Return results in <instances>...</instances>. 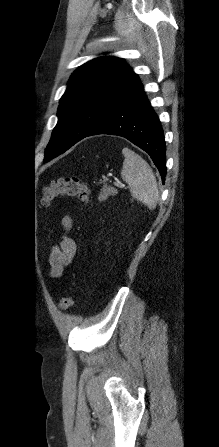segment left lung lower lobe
Returning a JSON list of instances; mask_svg holds the SVG:
<instances>
[{"mask_svg":"<svg viewBox=\"0 0 219 447\" xmlns=\"http://www.w3.org/2000/svg\"><path fill=\"white\" fill-rule=\"evenodd\" d=\"M98 134L122 136L147 152L164 182L166 146L163 130L139 79L85 137Z\"/></svg>","mask_w":219,"mask_h":447,"instance_id":"left-lung-lower-lobe-1","label":"left lung lower lobe"}]
</instances>
